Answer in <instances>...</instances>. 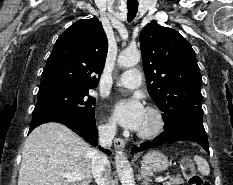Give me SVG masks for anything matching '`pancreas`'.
I'll list each match as a JSON object with an SVG mask.
<instances>
[{
	"mask_svg": "<svg viewBox=\"0 0 233 185\" xmlns=\"http://www.w3.org/2000/svg\"><path fill=\"white\" fill-rule=\"evenodd\" d=\"M183 179L180 176L171 177L169 181H166L163 185H181L183 184Z\"/></svg>",
	"mask_w": 233,
	"mask_h": 185,
	"instance_id": "pancreas-1",
	"label": "pancreas"
}]
</instances>
